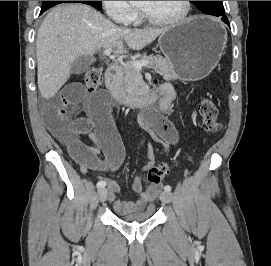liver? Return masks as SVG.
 Returning <instances> with one entry per match:
<instances>
[{
    "label": "liver",
    "mask_w": 271,
    "mask_h": 266,
    "mask_svg": "<svg viewBox=\"0 0 271 266\" xmlns=\"http://www.w3.org/2000/svg\"><path fill=\"white\" fill-rule=\"evenodd\" d=\"M167 28L125 29L116 26L100 12L84 4H64L52 9L37 35L38 88L45 99L53 97L67 82L71 62L92 56L100 49L116 54L141 50Z\"/></svg>",
    "instance_id": "liver-1"
}]
</instances>
